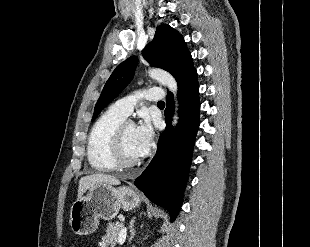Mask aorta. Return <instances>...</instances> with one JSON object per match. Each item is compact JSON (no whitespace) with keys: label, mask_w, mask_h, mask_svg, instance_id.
Segmentation results:
<instances>
[{"label":"aorta","mask_w":310,"mask_h":247,"mask_svg":"<svg viewBox=\"0 0 310 247\" xmlns=\"http://www.w3.org/2000/svg\"><path fill=\"white\" fill-rule=\"evenodd\" d=\"M148 75L152 79L157 80L160 83H162L163 85H165L166 87H168V89L174 94L175 99H176L178 85H177V82L172 75H170L168 72H166L164 70L157 69V68L150 69L148 71ZM175 101H176L175 102V114L173 116V121H172L173 127L178 122V116H177L178 104H177V100H175Z\"/></svg>","instance_id":"762f6f07"}]
</instances>
